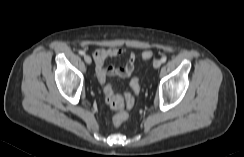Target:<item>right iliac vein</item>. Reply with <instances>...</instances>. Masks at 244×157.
<instances>
[{
    "label": "right iliac vein",
    "instance_id": "right-iliac-vein-1",
    "mask_svg": "<svg viewBox=\"0 0 244 157\" xmlns=\"http://www.w3.org/2000/svg\"><path fill=\"white\" fill-rule=\"evenodd\" d=\"M84 60H85V62H86L87 64H91V63H92V59H91V57H90L89 55H85V56H84Z\"/></svg>",
    "mask_w": 244,
    "mask_h": 157
}]
</instances>
